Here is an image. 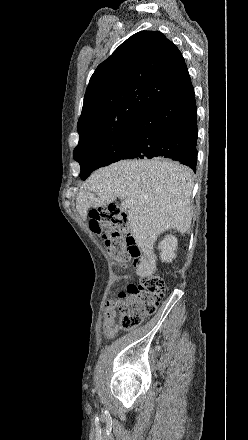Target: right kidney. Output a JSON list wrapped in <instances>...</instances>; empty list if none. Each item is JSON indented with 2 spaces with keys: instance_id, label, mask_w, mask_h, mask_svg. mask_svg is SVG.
<instances>
[{
  "instance_id": "1",
  "label": "right kidney",
  "mask_w": 248,
  "mask_h": 440,
  "mask_svg": "<svg viewBox=\"0 0 248 440\" xmlns=\"http://www.w3.org/2000/svg\"><path fill=\"white\" fill-rule=\"evenodd\" d=\"M177 246V238L171 234L167 235L158 246L161 249L160 257L162 261L172 262L176 258Z\"/></svg>"
}]
</instances>
